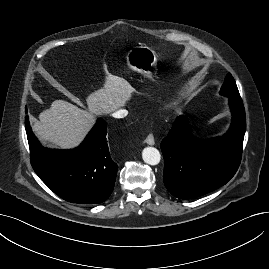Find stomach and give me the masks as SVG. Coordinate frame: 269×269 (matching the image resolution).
Returning <instances> with one entry per match:
<instances>
[{"instance_id":"0dacf381","label":"stomach","mask_w":269,"mask_h":269,"mask_svg":"<svg viewBox=\"0 0 269 269\" xmlns=\"http://www.w3.org/2000/svg\"><path fill=\"white\" fill-rule=\"evenodd\" d=\"M126 62L129 68L151 77L152 70L157 63V54L151 47L136 46L128 51Z\"/></svg>"}]
</instances>
